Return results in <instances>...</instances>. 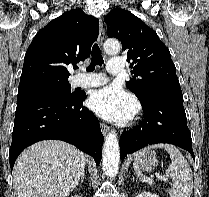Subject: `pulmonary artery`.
Masks as SVG:
<instances>
[{"mask_svg":"<svg viewBox=\"0 0 209 197\" xmlns=\"http://www.w3.org/2000/svg\"><path fill=\"white\" fill-rule=\"evenodd\" d=\"M122 60L118 57L111 59L107 65V71L110 74H119L121 73ZM107 82L106 77L101 74H86L84 77L76 78L75 84L78 87H95L103 85Z\"/></svg>","mask_w":209,"mask_h":197,"instance_id":"1","label":"pulmonary artery"}]
</instances>
